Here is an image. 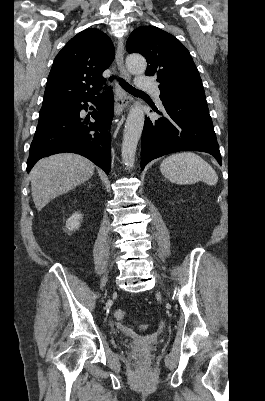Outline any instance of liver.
I'll use <instances>...</instances> for the list:
<instances>
[{
  "mask_svg": "<svg viewBox=\"0 0 265 401\" xmlns=\"http://www.w3.org/2000/svg\"><path fill=\"white\" fill-rule=\"evenodd\" d=\"M92 174L93 162L80 154L65 152L38 160L30 174L32 196L37 211L48 205L52 198L89 180Z\"/></svg>",
  "mask_w": 265,
  "mask_h": 401,
  "instance_id": "1",
  "label": "liver"
}]
</instances>
